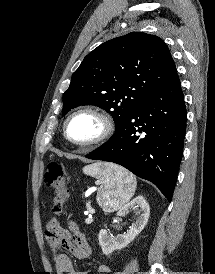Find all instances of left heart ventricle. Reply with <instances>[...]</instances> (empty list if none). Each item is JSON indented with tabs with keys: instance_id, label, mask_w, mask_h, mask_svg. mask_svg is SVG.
Masks as SVG:
<instances>
[{
	"instance_id": "left-heart-ventricle-1",
	"label": "left heart ventricle",
	"mask_w": 215,
	"mask_h": 274,
	"mask_svg": "<svg viewBox=\"0 0 215 274\" xmlns=\"http://www.w3.org/2000/svg\"><path fill=\"white\" fill-rule=\"evenodd\" d=\"M101 131V124L90 114H79L73 117L67 128L68 136L76 142H86L95 138Z\"/></svg>"
}]
</instances>
